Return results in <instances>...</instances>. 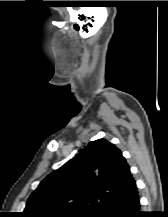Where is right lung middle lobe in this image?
I'll list each match as a JSON object with an SVG mask.
<instances>
[{"label":"right lung middle lobe","instance_id":"1","mask_svg":"<svg viewBox=\"0 0 168 217\" xmlns=\"http://www.w3.org/2000/svg\"><path fill=\"white\" fill-rule=\"evenodd\" d=\"M61 217H90V215H73V216H61Z\"/></svg>","mask_w":168,"mask_h":217}]
</instances>
